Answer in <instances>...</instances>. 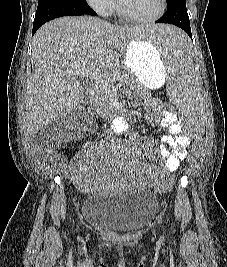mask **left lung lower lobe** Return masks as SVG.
<instances>
[{
	"label": "left lung lower lobe",
	"mask_w": 227,
	"mask_h": 267,
	"mask_svg": "<svg viewBox=\"0 0 227 267\" xmlns=\"http://www.w3.org/2000/svg\"><path fill=\"white\" fill-rule=\"evenodd\" d=\"M155 23L173 24L182 28L192 39L186 0L167 2V11Z\"/></svg>",
	"instance_id": "0a47b994"
}]
</instances>
